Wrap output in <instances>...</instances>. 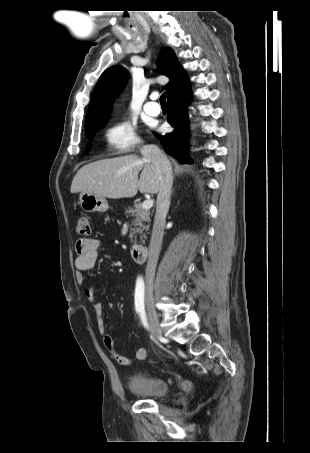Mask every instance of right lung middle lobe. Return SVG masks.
<instances>
[{"instance_id": "dd1d6c3e", "label": "right lung middle lobe", "mask_w": 310, "mask_h": 453, "mask_svg": "<svg viewBox=\"0 0 310 453\" xmlns=\"http://www.w3.org/2000/svg\"><path fill=\"white\" fill-rule=\"evenodd\" d=\"M103 124H100V125H97V126H94V127H90V128H87L86 129V136L91 139L93 137V135L96 133L97 130H99L100 128H102ZM90 148V144L88 145L87 149H86V152H88Z\"/></svg>"}]
</instances>
